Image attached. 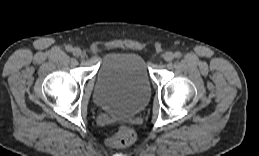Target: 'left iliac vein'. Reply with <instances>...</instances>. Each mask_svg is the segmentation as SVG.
I'll return each instance as SVG.
<instances>
[{"instance_id": "1", "label": "left iliac vein", "mask_w": 259, "mask_h": 156, "mask_svg": "<svg viewBox=\"0 0 259 156\" xmlns=\"http://www.w3.org/2000/svg\"><path fill=\"white\" fill-rule=\"evenodd\" d=\"M174 59V54L172 53V52H166L165 54H164V60L166 61V62H170V61H172Z\"/></svg>"}]
</instances>
